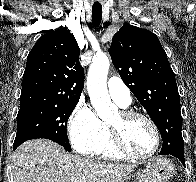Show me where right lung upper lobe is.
<instances>
[{"mask_svg":"<svg viewBox=\"0 0 196 182\" xmlns=\"http://www.w3.org/2000/svg\"><path fill=\"white\" fill-rule=\"evenodd\" d=\"M79 54L78 44L66 27L41 36L27 58L20 106L78 101L84 87Z\"/></svg>","mask_w":196,"mask_h":182,"instance_id":"1","label":"right lung upper lobe"}]
</instances>
